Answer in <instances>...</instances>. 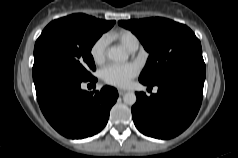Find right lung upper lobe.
I'll return each mask as SVG.
<instances>
[{
	"label": "right lung upper lobe",
	"mask_w": 238,
	"mask_h": 158,
	"mask_svg": "<svg viewBox=\"0 0 238 158\" xmlns=\"http://www.w3.org/2000/svg\"><path fill=\"white\" fill-rule=\"evenodd\" d=\"M73 15H76V16H82V17H88V18H91V19H94L95 21L99 22L100 24L104 25V26H107L109 28H111L114 24H115V21H105V20H99V19H96L94 17H90V16H87L85 14H73Z\"/></svg>",
	"instance_id": "cb5924a9"
}]
</instances>
